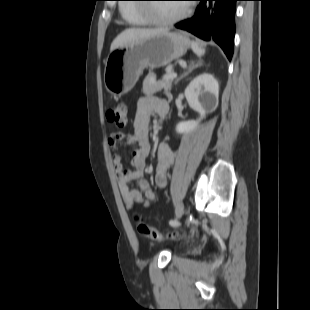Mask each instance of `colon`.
Instances as JSON below:
<instances>
[{
  "mask_svg": "<svg viewBox=\"0 0 310 310\" xmlns=\"http://www.w3.org/2000/svg\"><path fill=\"white\" fill-rule=\"evenodd\" d=\"M107 120L117 126L118 128H124L127 125V106L125 103H118L114 107L107 111ZM137 231L138 233L147 239L154 241H163L166 239L174 238L175 234H163L158 230L150 227L142 220L137 219Z\"/></svg>",
  "mask_w": 310,
  "mask_h": 310,
  "instance_id": "1",
  "label": "colon"
}]
</instances>
